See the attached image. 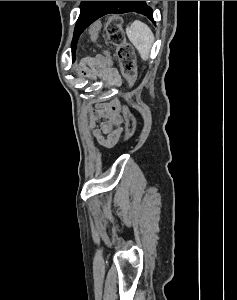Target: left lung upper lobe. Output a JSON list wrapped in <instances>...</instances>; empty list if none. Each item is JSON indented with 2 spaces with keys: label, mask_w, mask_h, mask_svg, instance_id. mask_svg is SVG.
<instances>
[{
  "label": "left lung upper lobe",
  "mask_w": 237,
  "mask_h": 300,
  "mask_svg": "<svg viewBox=\"0 0 237 300\" xmlns=\"http://www.w3.org/2000/svg\"><path fill=\"white\" fill-rule=\"evenodd\" d=\"M108 3L109 1H81L80 15L74 29V36L72 40L73 60L75 59L76 46L80 35L98 18L99 14ZM123 4L128 12L140 13L153 20V11L149 6H147L145 1H123Z\"/></svg>",
  "instance_id": "obj_1"
}]
</instances>
